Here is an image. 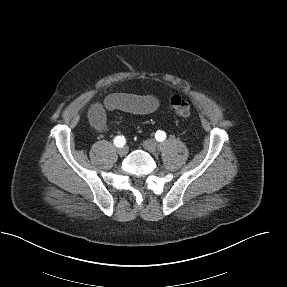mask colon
<instances>
[{
    "label": "colon",
    "instance_id": "obj_1",
    "mask_svg": "<svg viewBox=\"0 0 287 287\" xmlns=\"http://www.w3.org/2000/svg\"><path fill=\"white\" fill-rule=\"evenodd\" d=\"M170 105L174 113L180 117H187L191 113V104L180 95L172 96Z\"/></svg>",
    "mask_w": 287,
    "mask_h": 287
}]
</instances>
